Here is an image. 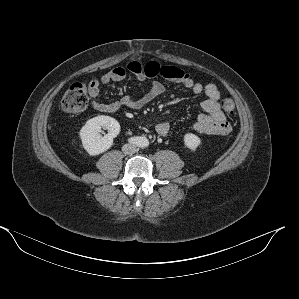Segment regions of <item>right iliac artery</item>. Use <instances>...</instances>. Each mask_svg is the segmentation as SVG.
Instances as JSON below:
<instances>
[{
	"label": "right iliac artery",
	"instance_id": "right-iliac-artery-1",
	"mask_svg": "<svg viewBox=\"0 0 299 299\" xmlns=\"http://www.w3.org/2000/svg\"><path fill=\"white\" fill-rule=\"evenodd\" d=\"M130 143L136 144L138 142V138L137 137H131L128 139Z\"/></svg>",
	"mask_w": 299,
	"mask_h": 299
}]
</instances>
